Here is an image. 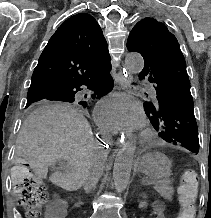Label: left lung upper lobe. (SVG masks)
<instances>
[{"mask_svg":"<svg viewBox=\"0 0 211 218\" xmlns=\"http://www.w3.org/2000/svg\"><path fill=\"white\" fill-rule=\"evenodd\" d=\"M127 48L140 53L146 78L156 96L144 102L145 113L166 142L198 153L199 140L186 62L176 37L152 18H144L132 29Z\"/></svg>","mask_w":211,"mask_h":218,"instance_id":"1","label":"left lung upper lobe"}]
</instances>
